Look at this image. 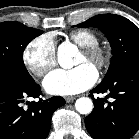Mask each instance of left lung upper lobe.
<instances>
[{
  "label": "left lung upper lobe",
  "instance_id": "5c2ea615",
  "mask_svg": "<svg viewBox=\"0 0 139 139\" xmlns=\"http://www.w3.org/2000/svg\"><path fill=\"white\" fill-rule=\"evenodd\" d=\"M76 26L98 28L111 44V64L101 83L109 82L127 65L139 61V28L130 20L114 14H100Z\"/></svg>",
  "mask_w": 139,
  "mask_h": 139
}]
</instances>
